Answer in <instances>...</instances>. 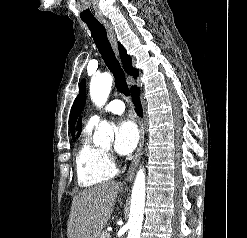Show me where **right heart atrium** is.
<instances>
[{
	"mask_svg": "<svg viewBox=\"0 0 247 238\" xmlns=\"http://www.w3.org/2000/svg\"><path fill=\"white\" fill-rule=\"evenodd\" d=\"M109 159H110L111 161H114V157H113L112 155H109Z\"/></svg>",
	"mask_w": 247,
	"mask_h": 238,
	"instance_id": "right-heart-atrium-1",
	"label": "right heart atrium"
}]
</instances>
